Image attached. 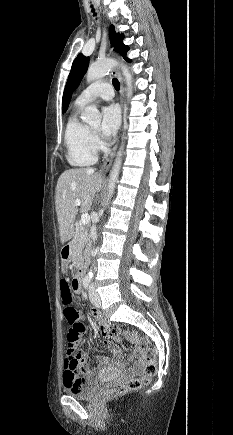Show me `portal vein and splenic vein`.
<instances>
[{"instance_id":"obj_1","label":"portal vein and splenic vein","mask_w":233,"mask_h":435,"mask_svg":"<svg viewBox=\"0 0 233 435\" xmlns=\"http://www.w3.org/2000/svg\"><path fill=\"white\" fill-rule=\"evenodd\" d=\"M75 204H76L77 206H79V205L81 204L80 199H76V200H75ZM89 221H90V216H89V214H87V213H83V214L81 215L80 224H81V225H86V224L89 223Z\"/></svg>"}]
</instances>
